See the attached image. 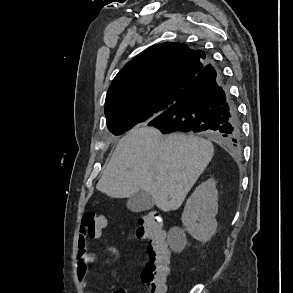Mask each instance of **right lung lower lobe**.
<instances>
[{
    "label": "right lung lower lobe",
    "mask_w": 293,
    "mask_h": 293,
    "mask_svg": "<svg viewBox=\"0 0 293 293\" xmlns=\"http://www.w3.org/2000/svg\"><path fill=\"white\" fill-rule=\"evenodd\" d=\"M148 125L163 133L205 132L229 146L239 145L241 138L237 108L223 87L220 71L211 63Z\"/></svg>",
    "instance_id": "obj_1"
}]
</instances>
